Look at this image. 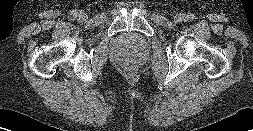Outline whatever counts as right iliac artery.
Instances as JSON below:
<instances>
[{
	"instance_id": "1",
	"label": "right iliac artery",
	"mask_w": 253,
	"mask_h": 131,
	"mask_svg": "<svg viewBox=\"0 0 253 131\" xmlns=\"http://www.w3.org/2000/svg\"><path fill=\"white\" fill-rule=\"evenodd\" d=\"M71 18H76L77 17V12L76 11H72L70 14Z\"/></svg>"
}]
</instances>
